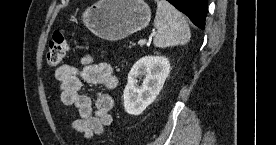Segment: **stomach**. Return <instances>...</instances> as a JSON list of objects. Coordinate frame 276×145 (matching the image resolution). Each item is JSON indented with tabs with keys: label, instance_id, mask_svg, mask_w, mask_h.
I'll use <instances>...</instances> for the list:
<instances>
[{
	"label": "stomach",
	"instance_id": "obj_1",
	"mask_svg": "<svg viewBox=\"0 0 276 145\" xmlns=\"http://www.w3.org/2000/svg\"><path fill=\"white\" fill-rule=\"evenodd\" d=\"M151 19L144 0H99L82 14L84 25L96 36L118 41L145 28Z\"/></svg>",
	"mask_w": 276,
	"mask_h": 145
}]
</instances>
